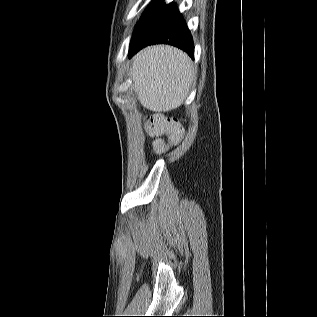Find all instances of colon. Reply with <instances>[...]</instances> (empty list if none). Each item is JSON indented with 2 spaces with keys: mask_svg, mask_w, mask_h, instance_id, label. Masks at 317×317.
Masks as SVG:
<instances>
[{
  "mask_svg": "<svg viewBox=\"0 0 317 317\" xmlns=\"http://www.w3.org/2000/svg\"><path fill=\"white\" fill-rule=\"evenodd\" d=\"M146 129L150 135L158 138L154 144L157 153H163L170 147L177 145L183 135V130L177 119L161 114L149 115L146 120ZM163 135L167 136L168 144L160 138Z\"/></svg>",
  "mask_w": 317,
  "mask_h": 317,
  "instance_id": "1",
  "label": "colon"
}]
</instances>
